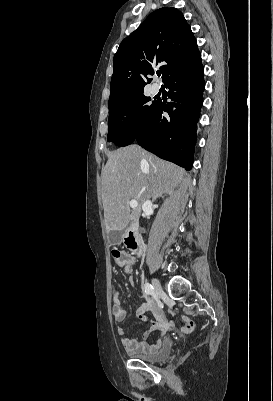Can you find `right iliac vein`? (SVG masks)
Returning <instances> with one entry per match:
<instances>
[{
    "instance_id": "obj_1",
    "label": "right iliac vein",
    "mask_w": 273,
    "mask_h": 401,
    "mask_svg": "<svg viewBox=\"0 0 273 401\" xmlns=\"http://www.w3.org/2000/svg\"><path fill=\"white\" fill-rule=\"evenodd\" d=\"M152 285H153L154 295L156 297H159L163 293V289L158 279H153Z\"/></svg>"
}]
</instances>
